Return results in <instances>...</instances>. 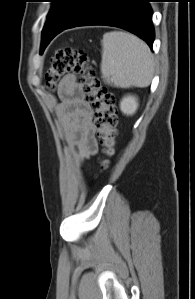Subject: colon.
Wrapping results in <instances>:
<instances>
[{
    "label": "colon",
    "mask_w": 195,
    "mask_h": 299,
    "mask_svg": "<svg viewBox=\"0 0 195 299\" xmlns=\"http://www.w3.org/2000/svg\"><path fill=\"white\" fill-rule=\"evenodd\" d=\"M70 72L80 77L83 92L95 109V123L103 153L106 157H110L115 152L118 133L115 96L100 84L94 69L89 65L86 52L72 48L59 50L52 57L46 74L47 87L54 90L57 83ZM100 164L106 167L107 160L102 159Z\"/></svg>",
    "instance_id": "obj_1"
}]
</instances>
